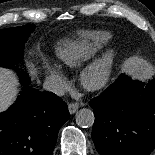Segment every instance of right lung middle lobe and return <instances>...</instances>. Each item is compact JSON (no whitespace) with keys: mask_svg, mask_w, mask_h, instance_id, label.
Here are the masks:
<instances>
[{"mask_svg":"<svg viewBox=\"0 0 155 155\" xmlns=\"http://www.w3.org/2000/svg\"><path fill=\"white\" fill-rule=\"evenodd\" d=\"M34 24L0 30V66L14 69L23 58L24 46L29 35L34 31ZM23 82H28L25 72L19 74Z\"/></svg>","mask_w":155,"mask_h":155,"instance_id":"obj_1","label":"right lung middle lobe"}]
</instances>
